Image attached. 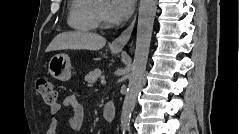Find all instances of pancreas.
Masks as SVG:
<instances>
[{"instance_id":"pancreas-1","label":"pancreas","mask_w":239,"mask_h":134,"mask_svg":"<svg viewBox=\"0 0 239 134\" xmlns=\"http://www.w3.org/2000/svg\"><path fill=\"white\" fill-rule=\"evenodd\" d=\"M101 74H102V71L99 68L94 69L93 71L89 72V74L85 76V81H87L89 84H93L94 82L98 80Z\"/></svg>"}]
</instances>
